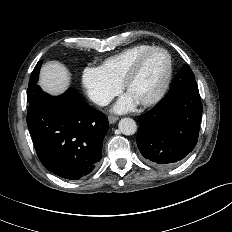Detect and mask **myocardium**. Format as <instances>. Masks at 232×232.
<instances>
[{
	"label": "myocardium",
	"instance_id": "myocardium-1",
	"mask_svg": "<svg viewBox=\"0 0 232 232\" xmlns=\"http://www.w3.org/2000/svg\"><path fill=\"white\" fill-rule=\"evenodd\" d=\"M157 51H161V52L165 53L167 56V59H168L167 73H166L165 79L163 81V84L161 85V87L157 91V93L154 96H152L151 98L139 102L143 106H150V105L158 103L165 96L166 92L168 91V88L170 86L172 76H173V60H172V56L169 53V51L163 47L154 46V47H151V48L147 49L146 51L142 52L141 54H139L135 58V60L132 62L131 66L129 67L128 71L126 72V74L123 78L122 84H121L122 88L125 91H127L128 86L130 85L132 80L138 74V72L141 68V65H142L143 61L145 60V58L147 56H149L150 54L157 52Z\"/></svg>",
	"mask_w": 232,
	"mask_h": 232
}]
</instances>
